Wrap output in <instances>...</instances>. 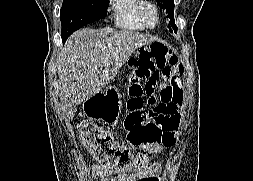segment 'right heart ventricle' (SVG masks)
Masks as SVG:
<instances>
[{
    "instance_id": "1",
    "label": "right heart ventricle",
    "mask_w": 253,
    "mask_h": 181,
    "mask_svg": "<svg viewBox=\"0 0 253 181\" xmlns=\"http://www.w3.org/2000/svg\"><path fill=\"white\" fill-rule=\"evenodd\" d=\"M145 0H110L113 23L116 27L131 32L146 28L140 21L139 10Z\"/></svg>"
}]
</instances>
